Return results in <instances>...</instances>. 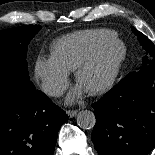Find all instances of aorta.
Instances as JSON below:
<instances>
[{
  "mask_svg": "<svg viewBox=\"0 0 155 155\" xmlns=\"http://www.w3.org/2000/svg\"><path fill=\"white\" fill-rule=\"evenodd\" d=\"M77 125L82 129H92L95 126L96 118L92 111L82 110L76 117Z\"/></svg>",
  "mask_w": 155,
  "mask_h": 155,
  "instance_id": "obj_1",
  "label": "aorta"
}]
</instances>
